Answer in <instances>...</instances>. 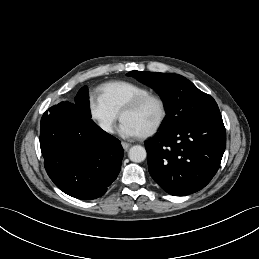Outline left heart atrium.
Here are the masks:
<instances>
[{"instance_id": "39dd6f15", "label": "left heart atrium", "mask_w": 259, "mask_h": 259, "mask_svg": "<svg viewBox=\"0 0 259 259\" xmlns=\"http://www.w3.org/2000/svg\"><path fill=\"white\" fill-rule=\"evenodd\" d=\"M118 131H119V134L125 138H133L140 135L136 127L127 121L121 122Z\"/></svg>"}]
</instances>
